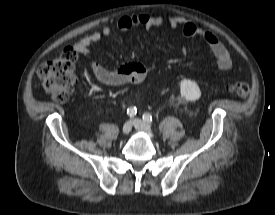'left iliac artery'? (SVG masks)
<instances>
[{
    "instance_id": "1",
    "label": "left iliac artery",
    "mask_w": 275,
    "mask_h": 215,
    "mask_svg": "<svg viewBox=\"0 0 275 215\" xmlns=\"http://www.w3.org/2000/svg\"><path fill=\"white\" fill-rule=\"evenodd\" d=\"M143 120L146 123L151 124L152 123V116L149 113H144L143 114Z\"/></svg>"
}]
</instances>
